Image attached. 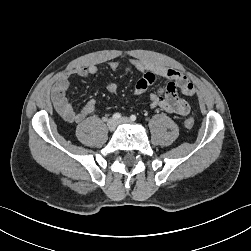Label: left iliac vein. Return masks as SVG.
<instances>
[{
	"label": "left iliac vein",
	"mask_w": 251,
	"mask_h": 251,
	"mask_svg": "<svg viewBox=\"0 0 251 251\" xmlns=\"http://www.w3.org/2000/svg\"><path fill=\"white\" fill-rule=\"evenodd\" d=\"M131 121L127 118V117H123L121 118L118 123L119 124H126V123H130Z\"/></svg>",
	"instance_id": "left-iliac-vein-1"
}]
</instances>
